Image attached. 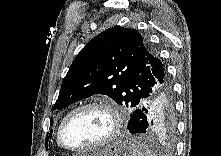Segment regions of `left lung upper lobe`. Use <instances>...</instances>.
Returning a JSON list of instances; mask_svg holds the SVG:
<instances>
[{
    "mask_svg": "<svg viewBox=\"0 0 221 156\" xmlns=\"http://www.w3.org/2000/svg\"><path fill=\"white\" fill-rule=\"evenodd\" d=\"M163 71V63L136 29L109 28L75 57L52 110L94 94L108 95L134 110L152 92L154 76Z\"/></svg>",
    "mask_w": 221,
    "mask_h": 156,
    "instance_id": "5c2ea615",
    "label": "left lung upper lobe"
}]
</instances>
